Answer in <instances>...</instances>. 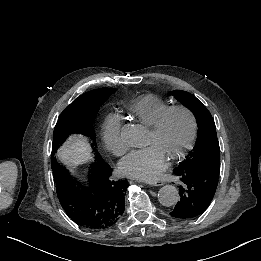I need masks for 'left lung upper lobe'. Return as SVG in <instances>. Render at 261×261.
<instances>
[{"label":"left lung upper lobe","instance_id":"1","mask_svg":"<svg viewBox=\"0 0 261 261\" xmlns=\"http://www.w3.org/2000/svg\"><path fill=\"white\" fill-rule=\"evenodd\" d=\"M173 96L189 108L198 123L197 140L193 150L177 168L200 167L220 170V147L215 122L207 108L192 94L174 90Z\"/></svg>","mask_w":261,"mask_h":261}]
</instances>
